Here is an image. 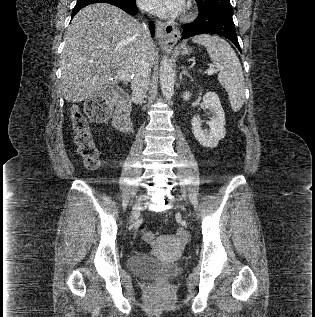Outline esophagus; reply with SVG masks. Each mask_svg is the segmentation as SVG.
I'll use <instances>...</instances> for the list:
<instances>
[{"label": "esophagus", "instance_id": "obj_1", "mask_svg": "<svg viewBox=\"0 0 315 317\" xmlns=\"http://www.w3.org/2000/svg\"><path fill=\"white\" fill-rule=\"evenodd\" d=\"M155 34L159 45L164 49L171 48L180 37V32L174 25L162 21L156 22Z\"/></svg>", "mask_w": 315, "mask_h": 317}]
</instances>
